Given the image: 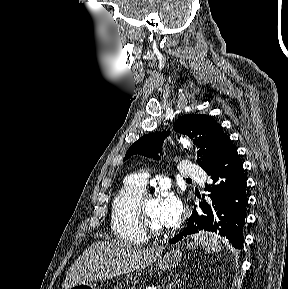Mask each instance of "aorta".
I'll use <instances>...</instances> for the list:
<instances>
[{
	"mask_svg": "<svg viewBox=\"0 0 288 289\" xmlns=\"http://www.w3.org/2000/svg\"><path fill=\"white\" fill-rule=\"evenodd\" d=\"M180 142L185 147H190L191 146L190 141L187 140V139H181Z\"/></svg>",
	"mask_w": 288,
	"mask_h": 289,
	"instance_id": "obj_1",
	"label": "aorta"
}]
</instances>
